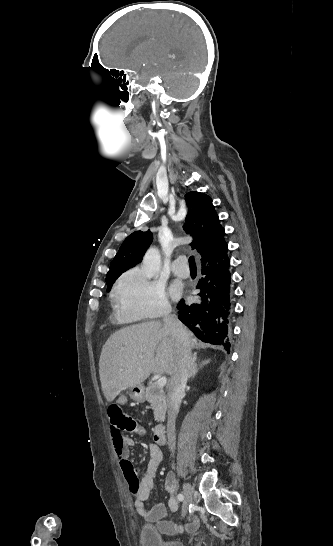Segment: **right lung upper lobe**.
I'll use <instances>...</instances> for the list:
<instances>
[{"instance_id":"cb5924a9","label":"right lung upper lobe","mask_w":333,"mask_h":546,"mask_svg":"<svg viewBox=\"0 0 333 546\" xmlns=\"http://www.w3.org/2000/svg\"><path fill=\"white\" fill-rule=\"evenodd\" d=\"M185 199L188 215L187 223L183 228L194 238L191 246L200 253L201 261H207L226 244L224 229L219 223L209 196L204 193L189 192ZM152 241L153 235L150 230L136 231L129 235L112 260L107 276L114 272L126 271L140 263Z\"/></svg>"}]
</instances>
